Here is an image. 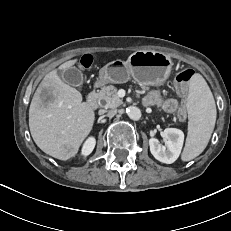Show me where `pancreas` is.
<instances>
[{"mask_svg":"<svg viewBox=\"0 0 231 231\" xmlns=\"http://www.w3.org/2000/svg\"><path fill=\"white\" fill-rule=\"evenodd\" d=\"M144 91L148 90V87L142 86ZM97 100L101 107L117 108L122 104V100L117 95V88L113 85L104 86L96 94ZM163 119V118H162Z\"/></svg>","mask_w":231,"mask_h":231,"instance_id":"obj_1","label":"pancreas"}]
</instances>
